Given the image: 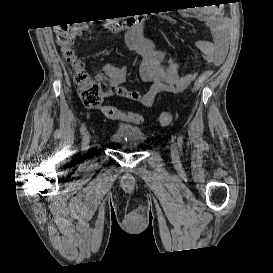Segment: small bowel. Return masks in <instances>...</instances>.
Instances as JSON below:
<instances>
[{"instance_id": "small-bowel-1", "label": "small bowel", "mask_w": 273, "mask_h": 273, "mask_svg": "<svg viewBox=\"0 0 273 273\" xmlns=\"http://www.w3.org/2000/svg\"><path fill=\"white\" fill-rule=\"evenodd\" d=\"M187 18H199L211 29L212 38L199 40L197 49L203 59L210 65H220L227 54L230 39V20L224 15L220 6H203L187 10ZM127 44L131 51L141 59L140 77L144 83L150 84L146 91L130 90L123 86L127 78V68L105 63L102 72L96 73L95 78L106 85V98L115 95L139 102L150 107L162 92L182 93L198 77V72H188L182 76L177 74L175 64L169 60L162 50L156 48L153 40L142 37L137 31L127 33ZM124 121H129L126 115L130 112L122 111Z\"/></svg>"}]
</instances>
